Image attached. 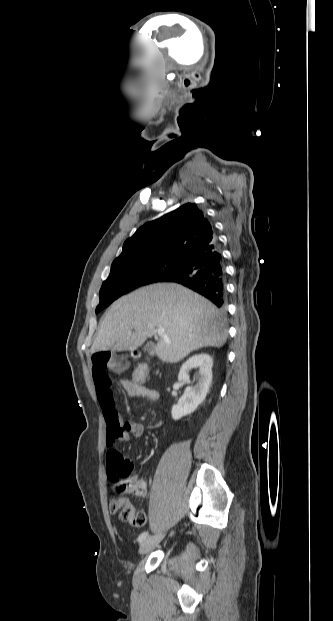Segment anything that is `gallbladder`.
Instances as JSON below:
<instances>
[{"instance_id":"bac80fb5","label":"gallbladder","mask_w":333,"mask_h":621,"mask_svg":"<svg viewBox=\"0 0 333 621\" xmlns=\"http://www.w3.org/2000/svg\"><path fill=\"white\" fill-rule=\"evenodd\" d=\"M143 350L144 352H148L149 354H154L155 347L153 344L149 343L144 346Z\"/></svg>"}]
</instances>
